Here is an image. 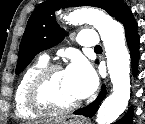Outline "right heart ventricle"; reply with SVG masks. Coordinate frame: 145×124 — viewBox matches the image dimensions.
<instances>
[{
	"mask_svg": "<svg viewBox=\"0 0 145 124\" xmlns=\"http://www.w3.org/2000/svg\"><path fill=\"white\" fill-rule=\"evenodd\" d=\"M47 60L39 58L31 66H29L23 75L21 76L19 83L16 87L14 101L16 107V113L21 118H36L43 114L34 112L28 107L27 104V90L34 76L47 65Z\"/></svg>",
	"mask_w": 145,
	"mask_h": 124,
	"instance_id": "1",
	"label": "right heart ventricle"
}]
</instances>
